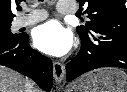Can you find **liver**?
Here are the masks:
<instances>
[{
	"label": "liver",
	"instance_id": "1",
	"mask_svg": "<svg viewBox=\"0 0 127 92\" xmlns=\"http://www.w3.org/2000/svg\"><path fill=\"white\" fill-rule=\"evenodd\" d=\"M29 79L20 73L0 66V92H27ZM32 92H41L34 85Z\"/></svg>",
	"mask_w": 127,
	"mask_h": 92
}]
</instances>
